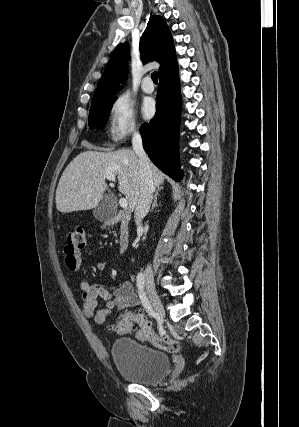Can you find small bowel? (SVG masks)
<instances>
[{
  "label": "small bowel",
  "mask_w": 299,
  "mask_h": 427,
  "mask_svg": "<svg viewBox=\"0 0 299 427\" xmlns=\"http://www.w3.org/2000/svg\"><path fill=\"white\" fill-rule=\"evenodd\" d=\"M65 265L70 272H77L81 266V254L79 251L69 253L65 251ZM97 268L100 271L107 269L106 260L97 262ZM80 299L83 302V314L87 318H94L98 324L107 322L113 308L124 310L133 308L141 304L139 293L134 290L133 285L126 281L119 285L94 284L88 281H82L79 286ZM105 302L104 308H99V300ZM149 325L152 329L151 323ZM154 335V331L152 330ZM136 338L152 342L151 336H146L141 330L136 333Z\"/></svg>",
  "instance_id": "c3829d8e"
}]
</instances>
